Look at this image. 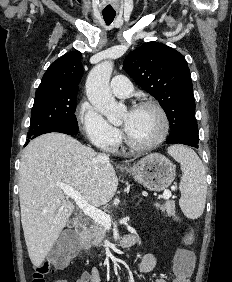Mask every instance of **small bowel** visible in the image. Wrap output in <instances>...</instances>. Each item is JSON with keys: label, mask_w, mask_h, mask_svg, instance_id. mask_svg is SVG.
<instances>
[{"label": "small bowel", "mask_w": 232, "mask_h": 282, "mask_svg": "<svg viewBox=\"0 0 232 282\" xmlns=\"http://www.w3.org/2000/svg\"><path fill=\"white\" fill-rule=\"evenodd\" d=\"M155 265H156L155 256L152 253H147L142 257L139 263V272L141 274L149 273L155 268ZM54 282H68V281L61 279V280H56ZM75 282H101V274L99 268L93 267L90 270H86L82 272V274L78 277V279ZM155 282H167V281L164 278H158Z\"/></svg>", "instance_id": "1"}]
</instances>
